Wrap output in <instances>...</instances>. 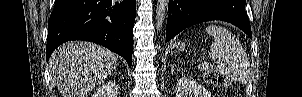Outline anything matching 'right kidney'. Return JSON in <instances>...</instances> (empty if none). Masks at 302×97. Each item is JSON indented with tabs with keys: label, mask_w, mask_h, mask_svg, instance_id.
Wrapping results in <instances>:
<instances>
[{
	"label": "right kidney",
	"mask_w": 302,
	"mask_h": 97,
	"mask_svg": "<svg viewBox=\"0 0 302 97\" xmlns=\"http://www.w3.org/2000/svg\"><path fill=\"white\" fill-rule=\"evenodd\" d=\"M117 92L118 85L113 81H109L103 84L92 97H116Z\"/></svg>",
	"instance_id": "obj_1"
}]
</instances>
